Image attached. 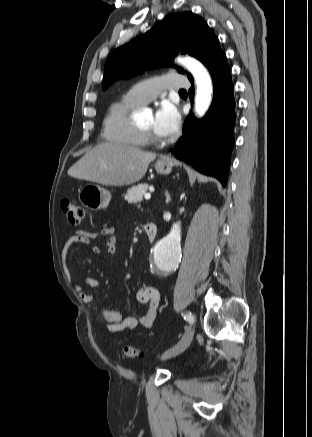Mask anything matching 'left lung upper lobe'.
Returning <instances> with one entry per match:
<instances>
[{
  "label": "left lung upper lobe",
  "instance_id": "left-lung-upper-lobe-1",
  "mask_svg": "<svg viewBox=\"0 0 312 437\" xmlns=\"http://www.w3.org/2000/svg\"><path fill=\"white\" fill-rule=\"evenodd\" d=\"M221 51L219 40L198 15L192 12L169 15L108 56L102 88L107 89L117 79L168 64L179 52L195 56L208 68ZM178 72L184 73L182 68ZM188 78L193 80L189 73Z\"/></svg>",
  "mask_w": 312,
  "mask_h": 437
}]
</instances>
